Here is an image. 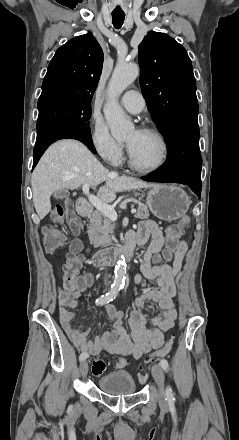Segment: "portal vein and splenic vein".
<instances>
[{
    "label": "portal vein and splenic vein",
    "mask_w": 239,
    "mask_h": 440,
    "mask_svg": "<svg viewBox=\"0 0 239 440\" xmlns=\"http://www.w3.org/2000/svg\"><path fill=\"white\" fill-rule=\"evenodd\" d=\"M89 184H84L83 188H82V192L83 194H86V196H88V200L90 202V204H92V206H94V208H96V210H99V212H102V214H104V216H107V218H109V220H112V222H116L117 220V212H115L114 210V206H109V204H105V202H101V200H99V198H96V196H92V194H90L89 192ZM132 213V215H137L138 213L136 212V209H131L130 210Z\"/></svg>",
    "instance_id": "18ae733b"
}]
</instances>
